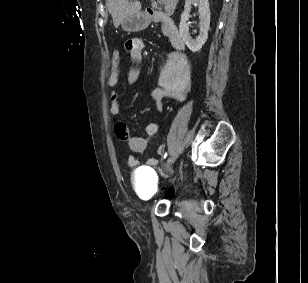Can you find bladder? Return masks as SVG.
Here are the masks:
<instances>
[{
  "label": "bladder",
  "instance_id": "31cf9c89",
  "mask_svg": "<svg viewBox=\"0 0 308 283\" xmlns=\"http://www.w3.org/2000/svg\"><path fill=\"white\" fill-rule=\"evenodd\" d=\"M133 185L141 198L151 200L159 194V185L154 170L137 168L132 174Z\"/></svg>",
  "mask_w": 308,
  "mask_h": 283
}]
</instances>
